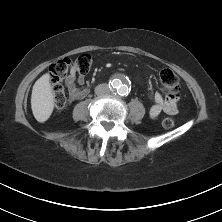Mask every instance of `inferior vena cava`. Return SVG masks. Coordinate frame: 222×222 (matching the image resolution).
<instances>
[{
    "mask_svg": "<svg viewBox=\"0 0 222 222\" xmlns=\"http://www.w3.org/2000/svg\"><path fill=\"white\" fill-rule=\"evenodd\" d=\"M95 93L98 96H106L110 93V88L105 83L99 84L95 87Z\"/></svg>",
    "mask_w": 222,
    "mask_h": 222,
    "instance_id": "602c4592",
    "label": "inferior vena cava"
}]
</instances>
